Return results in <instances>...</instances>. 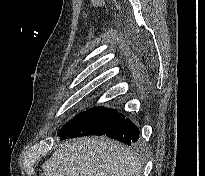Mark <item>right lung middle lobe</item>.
<instances>
[{"instance_id": "1", "label": "right lung middle lobe", "mask_w": 205, "mask_h": 176, "mask_svg": "<svg viewBox=\"0 0 205 176\" xmlns=\"http://www.w3.org/2000/svg\"><path fill=\"white\" fill-rule=\"evenodd\" d=\"M124 115L102 106L90 108L65 124L59 131L62 138H74L85 135H104L124 119Z\"/></svg>"}]
</instances>
